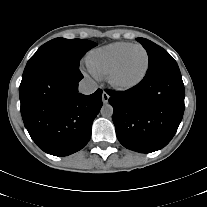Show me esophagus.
<instances>
[{
    "instance_id": "1",
    "label": "esophagus",
    "mask_w": 207,
    "mask_h": 207,
    "mask_svg": "<svg viewBox=\"0 0 207 207\" xmlns=\"http://www.w3.org/2000/svg\"><path fill=\"white\" fill-rule=\"evenodd\" d=\"M109 98H110L109 94L107 92L103 91V93H102V101H103L104 104L108 103Z\"/></svg>"
}]
</instances>
